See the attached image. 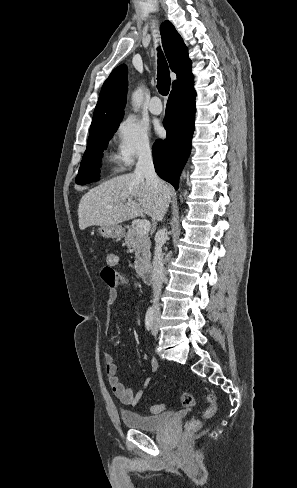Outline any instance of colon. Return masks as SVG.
<instances>
[{"mask_svg":"<svg viewBox=\"0 0 297 488\" xmlns=\"http://www.w3.org/2000/svg\"><path fill=\"white\" fill-rule=\"evenodd\" d=\"M101 278L107 286H111L114 283L115 272L109 265H105L101 270ZM207 407L203 411L200 418L193 419L187 426L188 431H196L201 428L203 422L213 417L217 411L216 397L213 394H209L206 397ZM181 402L184 406H194L196 404V398L190 393L184 392L181 395ZM166 409L164 404H157L150 408L152 413H160Z\"/></svg>","mask_w":297,"mask_h":488,"instance_id":"obj_1","label":"colon"}]
</instances>
